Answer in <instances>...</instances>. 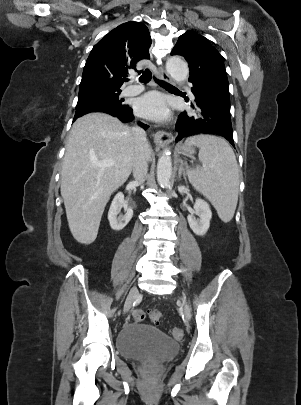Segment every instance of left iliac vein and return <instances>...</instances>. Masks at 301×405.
Returning <instances> with one entry per match:
<instances>
[{
	"label": "left iliac vein",
	"mask_w": 301,
	"mask_h": 405,
	"mask_svg": "<svg viewBox=\"0 0 301 405\" xmlns=\"http://www.w3.org/2000/svg\"><path fill=\"white\" fill-rule=\"evenodd\" d=\"M183 307H184L185 319H186V321H189L191 318V311H190L189 305L186 303L185 300H183Z\"/></svg>",
	"instance_id": "obj_1"
}]
</instances>
